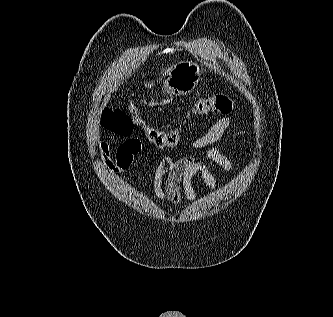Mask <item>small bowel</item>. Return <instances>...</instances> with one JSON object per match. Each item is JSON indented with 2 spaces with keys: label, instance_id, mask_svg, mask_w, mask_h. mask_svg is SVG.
<instances>
[{
  "label": "small bowel",
  "instance_id": "c3829d8e",
  "mask_svg": "<svg viewBox=\"0 0 333 317\" xmlns=\"http://www.w3.org/2000/svg\"><path fill=\"white\" fill-rule=\"evenodd\" d=\"M232 121L229 116L218 119L202 136L191 142V147L194 150L208 148L207 157L227 172H233L234 165L215 145L222 139ZM141 149L142 143L135 137L123 141L114 155L106 142L99 143L103 162L116 173L128 170ZM195 176H200L211 189H217L218 184L215 177L195 156L188 155L173 159L169 155H165L160 160L154 174L153 186L157 200L161 203L168 202L174 206L180 205L183 197L190 203L194 202L196 199L193 184Z\"/></svg>",
  "mask_w": 333,
  "mask_h": 317
}]
</instances>
